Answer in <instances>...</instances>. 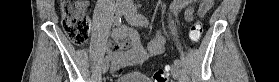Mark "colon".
Returning <instances> with one entry per match:
<instances>
[{"instance_id":"colon-1","label":"colon","mask_w":279,"mask_h":82,"mask_svg":"<svg viewBox=\"0 0 279 82\" xmlns=\"http://www.w3.org/2000/svg\"><path fill=\"white\" fill-rule=\"evenodd\" d=\"M215 1L204 0L205 8L211 6ZM60 12L62 17V26L70 40L76 45H83L87 42L91 22L85 13L86 0H59ZM205 8L203 11H205ZM203 32V23L196 21L189 30V38L193 43L200 40ZM121 73V72H120ZM119 73V74H120ZM154 82H167L168 74L165 70H157L154 75Z\"/></svg>"}]
</instances>
